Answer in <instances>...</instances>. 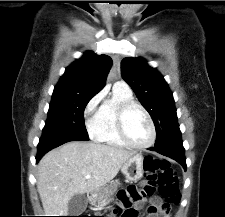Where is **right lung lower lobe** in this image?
I'll return each mask as SVG.
<instances>
[{"instance_id": "right-lung-lower-lobe-1", "label": "right lung lower lobe", "mask_w": 225, "mask_h": 217, "mask_svg": "<svg viewBox=\"0 0 225 217\" xmlns=\"http://www.w3.org/2000/svg\"><path fill=\"white\" fill-rule=\"evenodd\" d=\"M75 140H83V139L75 138V137H63V136H57V135L41 137L40 142L37 146L38 153H37L36 161L38 162L40 158L49 150L55 147H58L66 142L75 141Z\"/></svg>"}]
</instances>
